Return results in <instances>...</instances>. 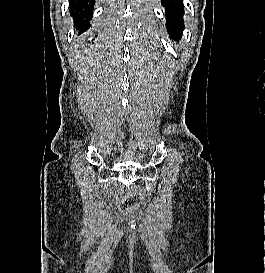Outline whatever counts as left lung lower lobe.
Wrapping results in <instances>:
<instances>
[{
	"instance_id": "left-lung-lower-lobe-1",
	"label": "left lung lower lobe",
	"mask_w": 265,
	"mask_h": 273,
	"mask_svg": "<svg viewBox=\"0 0 265 273\" xmlns=\"http://www.w3.org/2000/svg\"><path fill=\"white\" fill-rule=\"evenodd\" d=\"M183 0H161L162 6L165 7L166 25L170 35V39L175 42L181 40V34L183 33V15L184 6Z\"/></svg>"
}]
</instances>
